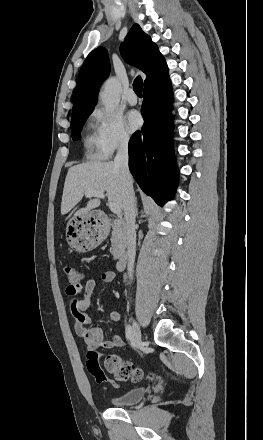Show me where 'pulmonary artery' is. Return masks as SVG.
I'll return each instance as SVG.
<instances>
[{
    "label": "pulmonary artery",
    "mask_w": 263,
    "mask_h": 440,
    "mask_svg": "<svg viewBox=\"0 0 263 440\" xmlns=\"http://www.w3.org/2000/svg\"><path fill=\"white\" fill-rule=\"evenodd\" d=\"M126 100L130 105H136L137 103V96L133 92V90H129L126 94Z\"/></svg>",
    "instance_id": "e3ab8cb5"
}]
</instances>
